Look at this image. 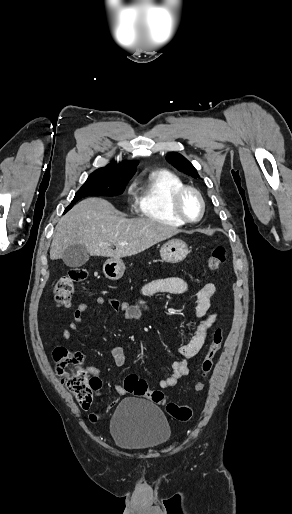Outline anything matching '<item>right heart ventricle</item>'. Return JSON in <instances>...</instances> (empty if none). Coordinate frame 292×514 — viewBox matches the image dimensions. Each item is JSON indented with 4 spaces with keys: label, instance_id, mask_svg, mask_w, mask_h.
Listing matches in <instances>:
<instances>
[{
    "label": "right heart ventricle",
    "instance_id": "right-heart-ventricle-1",
    "mask_svg": "<svg viewBox=\"0 0 292 514\" xmlns=\"http://www.w3.org/2000/svg\"><path fill=\"white\" fill-rule=\"evenodd\" d=\"M182 185L181 179L171 172L165 170L151 172L139 185L131 205L132 211L139 216L171 227L183 226L184 222L170 212L168 202L170 193Z\"/></svg>",
    "mask_w": 292,
    "mask_h": 514
}]
</instances>
